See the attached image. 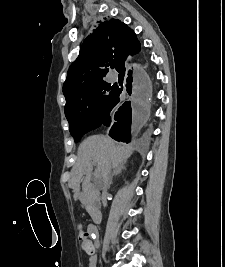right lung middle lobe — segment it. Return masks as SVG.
I'll use <instances>...</instances> for the list:
<instances>
[{
  "label": "right lung middle lobe",
  "mask_w": 225,
  "mask_h": 267,
  "mask_svg": "<svg viewBox=\"0 0 225 267\" xmlns=\"http://www.w3.org/2000/svg\"><path fill=\"white\" fill-rule=\"evenodd\" d=\"M116 93V86L102 81L85 87L66 100L65 115L75 142L100 126Z\"/></svg>",
  "instance_id": "dd1d6c3e"
}]
</instances>
